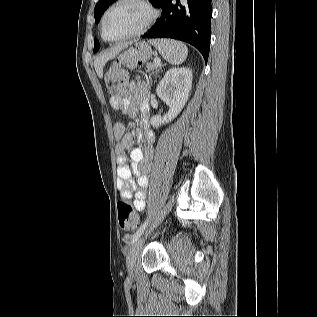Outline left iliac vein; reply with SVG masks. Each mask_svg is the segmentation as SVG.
<instances>
[{"label":"left iliac vein","mask_w":317,"mask_h":317,"mask_svg":"<svg viewBox=\"0 0 317 317\" xmlns=\"http://www.w3.org/2000/svg\"><path fill=\"white\" fill-rule=\"evenodd\" d=\"M148 232H146L147 234ZM144 242V237L140 236L136 241L131 245L130 251L127 256V269L130 275H134L136 267V259L139 253V250Z\"/></svg>","instance_id":"4c4485c4"}]
</instances>
